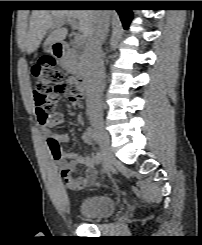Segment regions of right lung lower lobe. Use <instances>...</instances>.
<instances>
[{"label":"right lung lower lobe","mask_w":202,"mask_h":245,"mask_svg":"<svg viewBox=\"0 0 202 245\" xmlns=\"http://www.w3.org/2000/svg\"><path fill=\"white\" fill-rule=\"evenodd\" d=\"M127 1H84L81 6L87 7H115L118 12L124 29H127L132 19V10L127 8Z\"/></svg>","instance_id":"98d812e1"}]
</instances>
